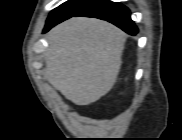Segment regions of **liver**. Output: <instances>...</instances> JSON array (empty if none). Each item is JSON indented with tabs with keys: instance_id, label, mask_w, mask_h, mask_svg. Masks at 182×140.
Segmentation results:
<instances>
[{
	"instance_id": "obj_1",
	"label": "liver",
	"mask_w": 182,
	"mask_h": 140,
	"mask_svg": "<svg viewBox=\"0 0 182 140\" xmlns=\"http://www.w3.org/2000/svg\"><path fill=\"white\" fill-rule=\"evenodd\" d=\"M46 80L76 105H89L116 82L126 35L93 18H71L49 31Z\"/></svg>"
}]
</instances>
